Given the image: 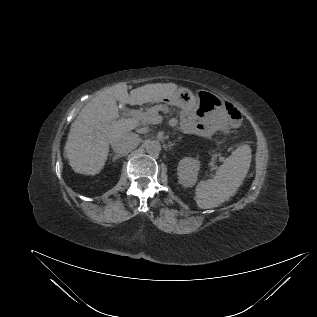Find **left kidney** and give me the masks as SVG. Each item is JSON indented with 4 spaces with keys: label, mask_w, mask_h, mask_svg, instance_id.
I'll use <instances>...</instances> for the list:
<instances>
[{
    "label": "left kidney",
    "mask_w": 317,
    "mask_h": 317,
    "mask_svg": "<svg viewBox=\"0 0 317 317\" xmlns=\"http://www.w3.org/2000/svg\"><path fill=\"white\" fill-rule=\"evenodd\" d=\"M200 162L192 157L180 160L177 168L179 183L185 187H192L197 181Z\"/></svg>",
    "instance_id": "left-kidney-1"
}]
</instances>
